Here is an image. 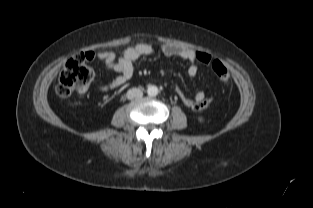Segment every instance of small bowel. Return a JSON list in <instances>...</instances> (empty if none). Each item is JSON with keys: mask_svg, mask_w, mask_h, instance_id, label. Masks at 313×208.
Returning a JSON list of instances; mask_svg holds the SVG:
<instances>
[{"mask_svg": "<svg viewBox=\"0 0 313 208\" xmlns=\"http://www.w3.org/2000/svg\"><path fill=\"white\" fill-rule=\"evenodd\" d=\"M154 48L147 43H139L135 46L124 49L119 56L112 51H101L98 53L88 52L92 55L91 59L97 58L104 62L105 66L117 73L115 79L100 87V90L107 92L125 84L133 75L134 63L143 56L154 53ZM160 51L167 57H179L190 62L188 68V76L194 78L198 74V66L196 59V52L192 49L178 47L171 44H164L160 47ZM86 89H83L84 92ZM206 99L205 93L200 91L195 95L194 100L201 102Z\"/></svg>", "mask_w": 313, "mask_h": 208, "instance_id": "c3829d8e", "label": "small bowel"}]
</instances>
